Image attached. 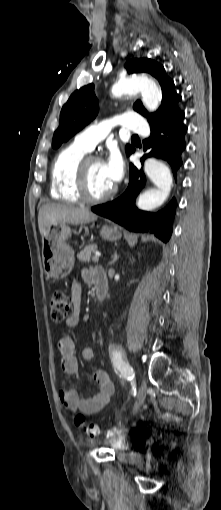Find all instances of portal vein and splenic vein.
<instances>
[{
	"label": "portal vein and splenic vein",
	"instance_id": "portal-vein-and-splenic-vein-1",
	"mask_svg": "<svg viewBox=\"0 0 221 510\" xmlns=\"http://www.w3.org/2000/svg\"><path fill=\"white\" fill-rule=\"evenodd\" d=\"M99 257H100V254L99 253H95V255L92 257V261L93 262H98L99 261Z\"/></svg>",
	"mask_w": 221,
	"mask_h": 510
}]
</instances>
